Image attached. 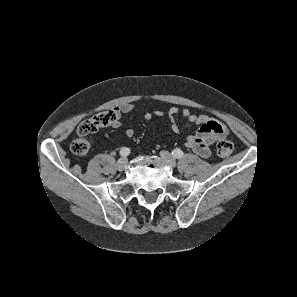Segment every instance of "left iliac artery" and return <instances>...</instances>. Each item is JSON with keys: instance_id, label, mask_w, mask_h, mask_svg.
Instances as JSON below:
<instances>
[{"instance_id": "obj_1", "label": "left iliac artery", "mask_w": 297, "mask_h": 297, "mask_svg": "<svg viewBox=\"0 0 297 297\" xmlns=\"http://www.w3.org/2000/svg\"><path fill=\"white\" fill-rule=\"evenodd\" d=\"M172 155L176 158H182L184 153L181 149L176 148L172 151Z\"/></svg>"}]
</instances>
